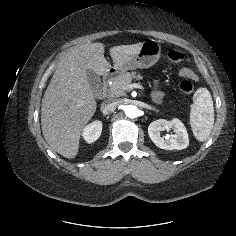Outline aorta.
Segmentation results:
<instances>
[{
    "label": "aorta",
    "instance_id": "762f6f07",
    "mask_svg": "<svg viewBox=\"0 0 236 236\" xmlns=\"http://www.w3.org/2000/svg\"><path fill=\"white\" fill-rule=\"evenodd\" d=\"M125 115L129 118H136L139 115V109L135 105H128L125 108Z\"/></svg>",
    "mask_w": 236,
    "mask_h": 236
}]
</instances>
